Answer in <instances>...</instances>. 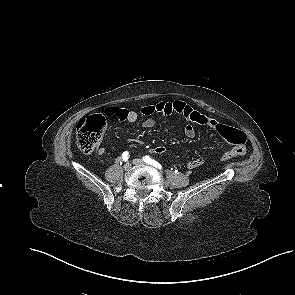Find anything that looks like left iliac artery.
<instances>
[{
    "mask_svg": "<svg viewBox=\"0 0 295 295\" xmlns=\"http://www.w3.org/2000/svg\"><path fill=\"white\" fill-rule=\"evenodd\" d=\"M143 160L145 163L152 165L153 167L161 170L162 166L161 164H159L157 161H155L154 159L150 158L149 156H145L143 157Z\"/></svg>",
    "mask_w": 295,
    "mask_h": 295,
    "instance_id": "obj_1",
    "label": "left iliac artery"
}]
</instances>
